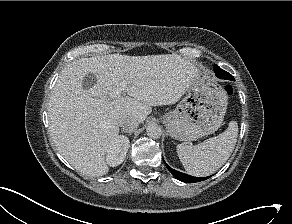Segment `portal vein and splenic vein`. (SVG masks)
<instances>
[{
	"label": "portal vein and splenic vein",
	"mask_w": 292,
	"mask_h": 224,
	"mask_svg": "<svg viewBox=\"0 0 292 224\" xmlns=\"http://www.w3.org/2000/svg\"><path fill=\"white\" fill-rule=\"evenodd\" d=\"M124 88V84L120 85L119 88H114L112 89V91L110 92V96L112 97H117L121 94V92L123 91Z\"/></svg>",
	"instance_id": "18ae733b"
}]
</instances>
